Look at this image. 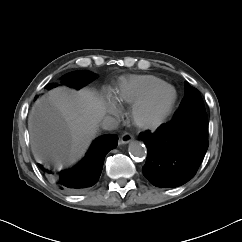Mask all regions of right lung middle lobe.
I'll list each match as a JSON object with an SVG mask.
<instances>
[{
    "instance_id": "1",
    "label": "right lung middle lobe",
    "mask_w": 242,
    "mask_h": 242,
    "mask_svg": "<svg viewBox=\"0 0 242 242\" xmlns=\"http://www.w3.org/2000/svg\"><path fill=\"white\" fill-rule=\"evenodd\" d=\"M96 75L94 73L88 72V71H79V72H73L69 73L62 77L65 81H67V84L69 86H72L74 88H81L82 86L90 83ZM53 84L46 85V88L50 89L53 87ZM37 98V96H36Z\"/></svg>"
}]
</instances>
